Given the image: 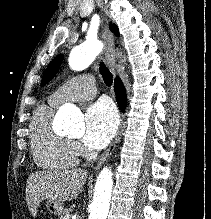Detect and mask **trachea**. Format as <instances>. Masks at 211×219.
I'll use <instances>...</instances> for the list:
<instances>
[{
  "instance_id": "3493384b",
  "label": "trachea",
  "mask_w": 211,
  "mask_h": 219,
  "mask_svg": "<svg viewBox=\"0 0 211 219\" xmlns=\"http://www.w3.org/2000/svg\"><path fill=\"white\" fill-rule=\"evenodd\" d=\"M99 71L103 77L105 84L107 86H111L113 82V76L103 61H101L99 64Z\"/></svg>"
}]
</instances>
